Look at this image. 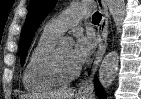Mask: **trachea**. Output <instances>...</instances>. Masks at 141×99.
I'll return each mask as SVG.
<instances>
[{"instance_id":"obj_1","label":"trachea","mask_w":141,"mask_h":99,"mask_svg":"<svg viewBox=\"0 0 141 99\" xmlns=\"http://www.w3.org/2000/svg\"><path fill=\"white\" fill-rule=\"evenodd\" d=\"M92 20L93 22H96V23L100 22L101 14L99 12H95L92 16Z\"/></svg>"}]
</instances>
